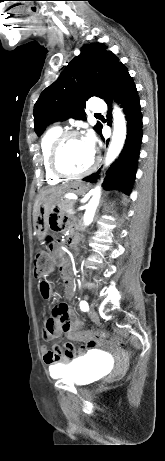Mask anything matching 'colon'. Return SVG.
Instances as JSON below:
<instances>
[{"label":"colon","instance_id":"colon-1","mask_svg":"<svg viewBox=\"0 0 165 461\" xmlns=\"http://www.w3.org/2000/svg\"><path fill=\"white\" fill-rule=\"evenodd\" d=\"M51 249V240L48 238L46 240V246L44 248L39 249L34 257V269H35V274L37 277H42L51 274L54 271V263L49 255V250ZM59 308H57V311ZM97 336H94L92 334H89L87 337L88 343H81L80 347L75 350V342L73 340H69L67 344L64 346V349L67 352H72L73 357L77 358L78 354L84 353L87 349L91 350L93 348V345L96 344L97 342ZM100 338L103 339H108L109 335L108 334H102ZM110 341L120 347L125 346V342L119 338V337H111Z\"/></svg>","mask_w":165,"mask_h":461}]
</instances>
